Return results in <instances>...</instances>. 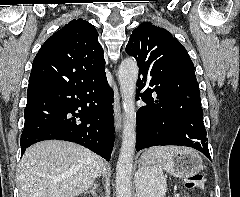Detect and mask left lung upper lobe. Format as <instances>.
<instances>
[{
    "label": "left lung upper lobe",
    "instance_id": "1",
    "mask_svg": "<svg viewBox=\"0 0 240 197\" xmlns=\"http://www.w3.org/2000/svg\"><path fill=\"white\" fill-rule=\"evenodd\" d=\"M126 52L137 60L139 73L149 77L152 88L169 92L185 87L199 89L191 58L166 29L141 23L132 32Z\"/></svg>",
    "mask_w": 240,
    "mask_h": 197
}]
</instances>
